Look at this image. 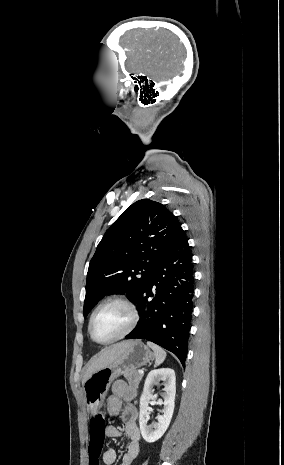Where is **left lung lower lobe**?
Wrapping results in <instances>:
<instances>
[{
  "label": "left lung lower lobe",
  "mask_w": 284,
  "mask_h": 465,
  "mask_svg": "<svg viewBox=\"0 0 284 465\" xmlns=\"http://www.w3.org/2000/svg\"><path fill=\"white\" fill-rule=\"evenodd\" d=\"M194 298L192 254L180 228L157 262L137 299L140 320L126 339H146L174 353L184 366Z\"/></svg>",
  "instance_id": "0a47b994"
}]
</instances>
